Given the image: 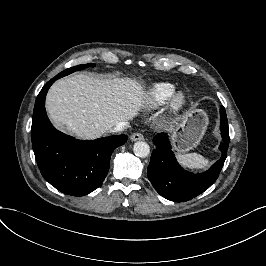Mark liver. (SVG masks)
<instances>
[{"label":"liver","mask_w":266,"mask_h":266,"mask_svg":"<svg viewBox=\"0 0 266 266\" xmlns=\"http://www.w3.org/2000/svg\"><path fill=\"white\" fill-rule=\"evenodd\" d=\"M147 99L143 86L129 77L99 79L77 74L56 81L46 96L52 122L83 139L106 135L137 116Z\"/></svg>","instance_id":"obj_1"}]
</instances>
